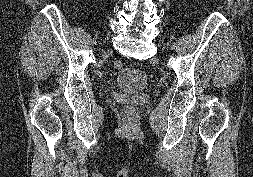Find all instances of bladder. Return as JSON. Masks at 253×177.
I'll return each mask as SVG.
<instances>
[{"mask_svg": "<svg viewBox=\"0 0 253 177\" xmlns=\"http://www.w3.org/2000/svg\"><path fill=\"white\" fill-rule=\"evenodd\" d=\"M147 83L144 71L135 67L124 68L115 77V85L122 88H141Z\"/></svg>", "mask_w": 253, "mask_h": 177, "instance_id": "bladder-1", "label": "bladder"}]
</instances>
